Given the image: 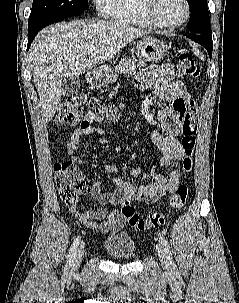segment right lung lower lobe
Here are the masks:
<instances>
[{"mask_svg": "<svg viewBox=\"0 0 239 303\" xmlns=\"http://www.w3.org/2000/svg\"><path fill=\"white\" fill-rule=\"evenodd\" d=\"M76 14H70V15H59V16H54L51 17L50 19L46 21H41L38 22L34 25L28 26V32H29V39H28V45H27V50L31 46V43L33 42V39L35 38L36 34L45 26L50 25L52 23L60 22L62 21L65 17L73 16Z\"/></svg>", "mask_w": 239, "mask_h": 303, "instance_id": "98d812e1", "label": "right lung lower lobe"}]
</instances>
